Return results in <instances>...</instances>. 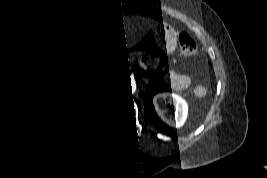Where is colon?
<instances>
[{
  "label": "colon",
  "mask_w": 267,
  "mask_h": 178,
  "mask_svg": "<svg viewBox=\"0 0 267 178\" xmlns=\"http://www.w3.org/2000/svg\"><path fill=\"white\" fill-rule=\"evenodd\" d=\"M183 47L185 51L189 53L193 52L195 49L194 43L189 41L188 39H183Z\"/></svg>",
  "instance_id": "5ec220e1"
}]
</instances>
